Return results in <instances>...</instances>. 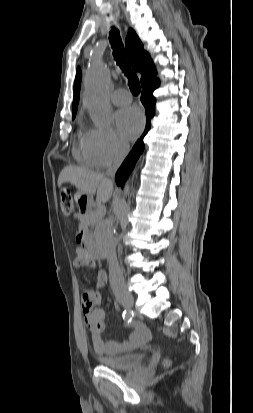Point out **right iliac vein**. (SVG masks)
I'll return each mask as SVG.
<instances>
[{"label": "right iliac vein", "mask_w": 253, "mask_h": 413, "mask_svg": "<svg viewBox=\"0 0 253 413\" xmlns=\"http://www.w3.org/2000/svg\"><path fill=\"white\" fill-rule=\"evenodd\" d=\"M117 299L127 309H131L134 305V297L130 293L118 294Z\"/></svg>", "instance_id": "right-iliac-vein-1"}]
</instances>
